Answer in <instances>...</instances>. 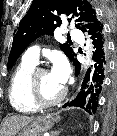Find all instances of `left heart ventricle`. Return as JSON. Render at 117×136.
Instances as JSON below:
<instances>
[{
    "label": "left heart ventricle",
    "mask_w": 117,
    "mask_h": 136,
    "mask_svg": "<svg viewBox=\"0 0 117 136\" xmlns=\"http://www.w3.org/2000/svg\"><path fill=\"white\" fill-rule=\"evenodd\" d=\"M38 85L41 98L45 101L55 99L63 90V86L53 78L50 72L40 75Z\"/></svg>",
    "instance_id": "obj_1"
}]
</instances>
